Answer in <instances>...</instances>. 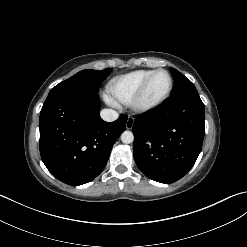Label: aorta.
<instances>
[{
	"label": "aorta",
	"mask_w": 247,
	"mask_h": 247,
	"mask_svg": "<svg viewBox=\"0 0 247 247\" xmlns=\"http://www.w3.org/2000/svg\"><path fill=\"white\" fill-rule=\"evenodd\" d=\"M134 140V135L131 131H124L121 134V141L125 144L132 143Z\"/></svg>",
	"instance_id": "obj_1"
}]
</instances>
